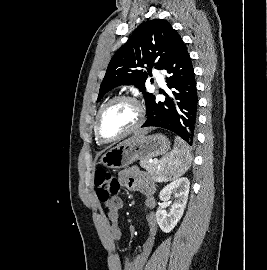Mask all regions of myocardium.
Segmentation results:
<instances>
[{
  "instance_id": "obj_1",
  "label": "myocardium",
  "mask_w": 267,
  "mask_h": 270,
  "mask_svg": "<svg viewBox=\"0 0 267 270\" xmlns=\"http://www.w3.org/2000/svg\"><path fill=\"white\" fill-rule=\"evenodd\" d=\"M122 101L131 102L132 104H134L136 106L137 111H138V120L132 128H130L128 131L122 133L121 135L114 137V138H106L103 136L101 129H100L101 117L107 108H109L111 105H113L117 102H122ZM144 121H145V109H144L143 104L140 102V100H138L136 97L131 96V95H119V96H116V97L110 99L109 101H107L99 109V111L96 115V118H95L94 133H95L96 139L100 143L110 144V143L120 141L123 138L136 132L143 125Z\"/></svg>"
}]
</instances>
